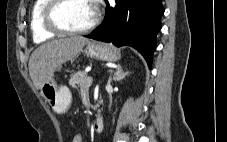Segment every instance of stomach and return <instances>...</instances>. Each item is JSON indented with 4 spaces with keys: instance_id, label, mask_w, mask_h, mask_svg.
Instances as JSON below:
<instances>
[{
    "instance_id": "stomach-1",
    "label": "stomach",
    "mask_w": 227,
    "mask_h": 142,
    "mask_svg": "<svg viewBox=\"0 0 227 142\" xmlns=\"http://www.w3.org/2000/svg\"><path fill=\"white\" fill-rule=\"evenodd\" d=\"M85 53L104 61L114 62L119 59L120 52L107 44L88 42ZM41 95L57 113L65 112L72 100L71 92L66 86H58L53 76L41 86Z\"/></svg>"
}]
</instances>
